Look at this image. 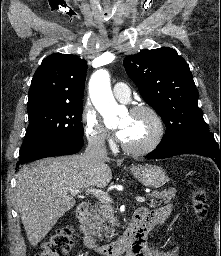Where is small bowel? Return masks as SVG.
<instances>
[{
	"label": "small bowel",
	"mask_w": 221,
	"mask_h": 256,
	"mask_svg": "<svg viewBox=\"0 0 221 256\" xmlns=\"http://www.w3.org/2000/svg\"><path fill=\"white\" fill-rule=\"evenodd\" d=\"M139 210L145 214L143 232L140 238L128 250V256H176V250L160 251L150 249L146 240L148 232L156 225L163 223L169 217L172 207L167 205L156 210Z\"/></svg>",
	"instance_id": "1"
}]
</instances>
